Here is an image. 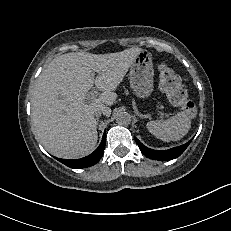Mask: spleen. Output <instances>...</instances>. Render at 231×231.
Masks as SVG:
<instances>
[{
	"label": "spleen",
	"mask_w": 231,
	"mask_h": 231,
	"mask_svg": "<svg viewBox=\"0 0 231 231\" xmlns=\"http://www.w3.org/2000/svg\"><path fill=\"white\" fill-rule=\"evenodd\" d=\"M146 126L152 135L162 141H178L188 133L191 117L189 112L182 111L165 121H150Z\"/></svg>",
	"instance_id": "3e777b00"
}]
</instances>
